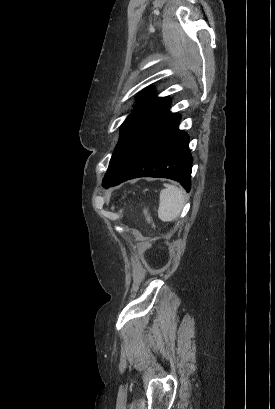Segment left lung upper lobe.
I'll return each instance as SVG.
<instances>
[{"instance_id": "left-lung-upper-lobe-1", "label": "left lung upper lobe", "mask_w": 275, "mask_h": 409, "mask_svg": "<svg viewBox=\"0 0 275 409\" xmlns=\"http://www.w3.org/2000/svg\"><path fill=\"white\" fill-rule=\"evenodd\" d=\"M137 97L139 105L122 124L118 144L103 179L104 187L110 186L117 177L130 150L145 132L169 112V99L155 97L152 88L145 89Z\"/></svg>"}]
</instances>
